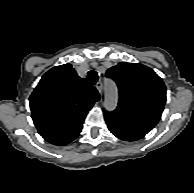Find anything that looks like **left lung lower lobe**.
I'll return each mask as SVG.
<instances>
[{"label": "left lung lower lobe", "instance_id": "0a47b994", "mask_svg": "<svg viewBox=\"0 0 194 193\" xmlns=\"http://www.w3.org/2000/svg\"><path fill=\"white\" fill-rule=\"evenodd\" d=\"M104 118L112 134L125 141L143 138L152 128L104 111Z\"/></svg>", "mask_w": 194, "mask_h": 193}]
</instances>
